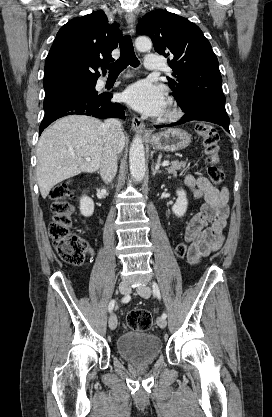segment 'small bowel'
I'll use <instances>...</instances> for the list:
<instances>
[{"label": "small bowel", "mask_w": 272, "mask_h": 417, "mask_svg": "<svg viewBox=\"0 0 272 417\" xmlns=\"http://www.w3.org/2000/svg\"><path fill=\"white\" fill-rule=\"evenodd\" d=\"M185 184L196 198L204 201L200 211L185 227L184 238L189 245L187 259L196 264L217 251L225 240L229 191L227 187L216 188L205 176L194 177L189 173L185 176Z\"/></svg>", "instance_id": "c3829d8e"}]
</instances>
